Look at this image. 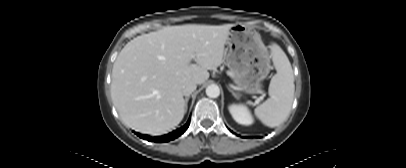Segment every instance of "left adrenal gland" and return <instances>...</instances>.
<instances>
[{"mask_svg":"<svg viewBox=\"0 0 406 168\" xmlns=\"http://www.w3.org/2000/svg\"><path fill=\"white\" fill-rule=\"evenodd\" d=\"M229 91H230L233 95H235V93H234L232 90L229 89Z\"/></svg>","mask_w":406,"mask_h":168,"instance_id":"a2214340","label":"left adrenal gland"}]
</instances>
